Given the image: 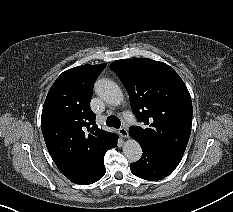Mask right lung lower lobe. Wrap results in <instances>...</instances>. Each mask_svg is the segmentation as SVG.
I'll return each instance as SVG.
<instances>
[{
    "mask_svg": "<svg viewBox=\"0 0 233 212\" xmlns=\"http://www.w3.org/2000/svg\"><path fill=\"white\" fill-rule=\"evenodd\" d=\"M117 140H118V136L115 135V134H113V136L109 140L108 145H107V147H106V149H105V151L103 153V156H102V159L100 161V164H99L97 172L95 173V175L93 176V178L89 182H87L85 184H92V183L98 181L99 179H101L104 176V174L106 172L105 166H104V154L106 153V151L108 149L116 147Z\"/></svg>",
    "mask_w": 233,
    "mask_h": 212,
    "instance_id": "obj_1",
    "label": "right lung lower lobe"
}]
</instances>
